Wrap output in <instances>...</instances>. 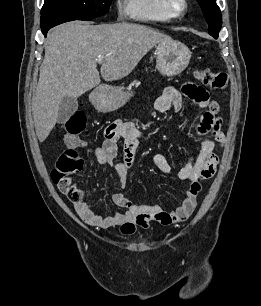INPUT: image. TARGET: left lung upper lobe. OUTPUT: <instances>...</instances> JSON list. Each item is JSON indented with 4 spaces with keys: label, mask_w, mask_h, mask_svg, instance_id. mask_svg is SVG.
I'll return each mask as SVG.
<instances>
[{
    "label": "left lung upper lobe",
    "mask_w": 261,
    "mask_h": 306,
    "mask_svg": "<svg viewBox=\"0 0 261 306\" xmlns=\"http://www.w3.org/2000/svg\"><path fill=\"white\" fill-rule=\"evenodd\" d=\"M202 8L207 23L209 24V34L218 38V33L222 26V16L216 0H197Z\"/></svg>",
    "instance_id": "5c2ea615"
}]
</instances>
